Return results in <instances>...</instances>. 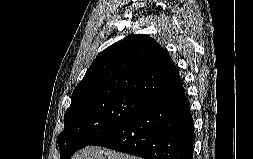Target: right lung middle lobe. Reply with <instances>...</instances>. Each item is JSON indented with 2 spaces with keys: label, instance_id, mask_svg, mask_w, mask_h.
<instances>
[{
  "label": "right lung middle lobe",
  "instance_id": "right-lung-middle-lobe-1",
  "mask_svg": "<svg viewBox=\"0 0 253 159\" xmlns=\"http://www.w3.org/2000/svg\"><path fill=\"white\" fill-rule=\"evenodd\" d=\"M152 103L131 94L72 101L64 115L65 128L58 138L60 159H69L78 149L115 131Z\"/></svg>",
  "mask_w": 253,
  "mask_h": 159
}]
</instances>
